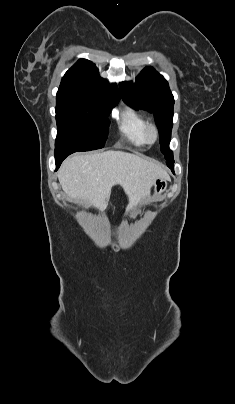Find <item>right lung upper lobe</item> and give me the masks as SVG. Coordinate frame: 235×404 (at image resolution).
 I'll return each mask as SVG.
<instances>
[{"label":"right lung upper lobe","mask_w":235,"mask_h":404,"mask_svg":"<svg viewBox=\"0 0 235 404\" xmlns=\"http://www.w3.org/2000/svg\"><path fill=\"white\" fill-rule=\"evenodd\" d=\"M57 96L103 102H117L120 99L116 84L109 86L99 76L96 66L86 59H80L65 73Z\"/></svg>","instance_id":"right-lung-upper-lobe-1"}]
</instances>
